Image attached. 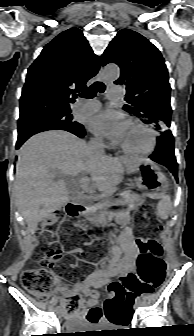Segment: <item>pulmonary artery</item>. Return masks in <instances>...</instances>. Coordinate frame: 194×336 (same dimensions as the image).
Here are the masks:
<instances>
[{"instance_id": "pulmonary-artery-1", "label": "pulmonary artery", "mask_w": 194, "mask_h": 336, "mask_svg": "<svg viewBox=\"0 0 194 336\" xmlns=\"http://www.w3.org/2000/svg\"><path fill=\"white\" fill-rule=\"evenodd\" d=\"M106 97L108 99H116L121 97V88L119 87H110ZM100 108V102L97 100L92 101H83L80 106L76 108V113L81 115H91L97 112Z\"/></svg>"}]
</instances>
